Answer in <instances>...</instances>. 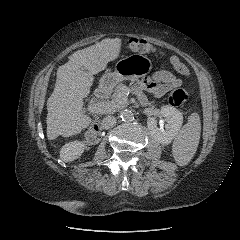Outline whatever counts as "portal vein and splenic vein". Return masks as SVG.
Masks as SVG:
<instances>
[{"instance_id": "1", "label": "portal vein and splenic vein", "mask_w": 240, "mask_h": 240, "mask_svg": "<svg viewBox=\"0 0 240 240\" xmlns=\"http://www.w3.org/2000/svg\"><path fill=\"white\" fill-rule=\"evenodd\" d=\"M114 106H115L114 102H105V103H99L96 105H90L89 110L105 112V111H110V110L114 109Z\"/></svg>"}]
</instances>
